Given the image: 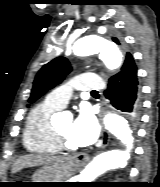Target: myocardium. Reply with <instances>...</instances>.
I'll return each mask as SVG.
<instances>
[{"label":"myocardium","mask_w":160,"mask_h":187,"mask_svg":"<svg viewBox=\"0 0 160 187\" xmlns=\"http://www.w3.org/2000/svg\"><path fill=\"white\" fill-rule=\"evenodd\" d=\"M54 134L61 151L67 153H76L78 151V147L72 146L56 126H54Z\"/></svg>","instance_id":"f54148a6"}]
</instances>
